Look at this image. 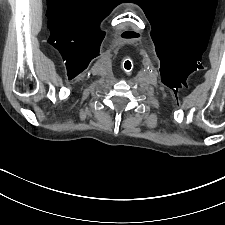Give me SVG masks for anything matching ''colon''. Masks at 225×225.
Returning <instances> with one entry per match:
<instances>
[{
	"instance_id": "colon-1",
	"label": "colon",
	"mask_w": 225,
	"mask_h": 225,
	"mask_svg": "<svg viewBox=\"0 0 225 225\" xmlns=\"http://www.w3.org/2000/svg\"><path fill=\"white\" fill-rule=\"evenodd\" d=\"M124 67L129 70L131 69V62L129 60H125Z\"/></svg>"
}]
</instances>
